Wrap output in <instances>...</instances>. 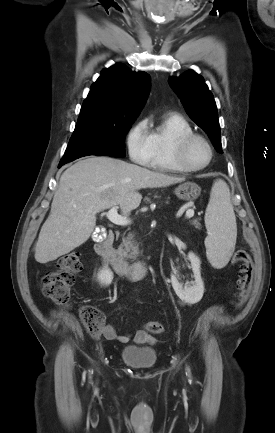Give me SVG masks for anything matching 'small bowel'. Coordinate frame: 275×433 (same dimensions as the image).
Segmentation results:
<instances>
[{"instance_id":"obj_1","label":"small bowel","mask_w":275,"mask_h":433,"mask_svg":"<svg viewBox=\"0 0 275 433\" xmlns=\"http://www.w3.org/2000/svg\"><path fill=\"white\" fill-rule=\"evenodd\" d=\"M106 263V261L104 260ZM103 335L108 340H118L121 343H127L131 340L129 334H118L116 328L112 324H106L103 328ZM134 342L138 344H155L156 339L144 330H138L134 337Z\"/></svg>"}]
</instances>
